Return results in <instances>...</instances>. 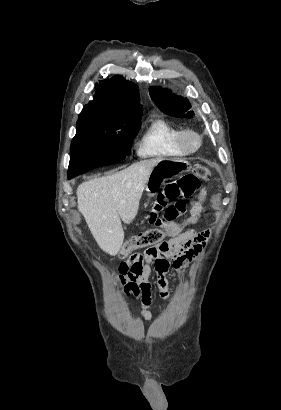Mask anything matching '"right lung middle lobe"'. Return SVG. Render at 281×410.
<instances>
[{
	"mask_svg": "<svg viewBox=\"0 0 281 410\" xmlns=\"http://www.w3.org/2000/svg\"><path fill=\"white\" fill-rule=\"evenodd\" d=\"M141 116L131 119H108L81 112L77 132L71 143L68 176L117 163L128 154L130 144L140 129Z\"/></svg>",
	"mask_w": 281,
	"mask_h": 410,
	"instance_id": "obj_1",
	"label": "right lung middle lobe"
}]
</instances>
